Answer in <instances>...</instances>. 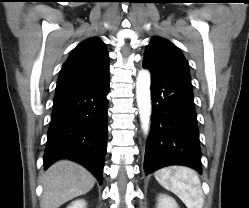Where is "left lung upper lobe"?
<instances>
[{"label":"left lung upper lobe","instance_id":"left-lung-upper-lobe-1","mask_svg":"<svg viewBox=\"0 0 249 208\" xmlns=\"http://www.w3.org/2000/svg\"><path fill=\"white\" fill-rule=\"evenodd\" d=\"M144 60L160 69L179 74L189 81V64L180 50L161 37L152 38L146 48Z\"/></svg>","mask_w":249,"mask_h":208}]
</instances>
